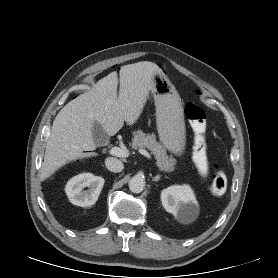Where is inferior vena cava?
<instances>
[{"label": "inferior vena cava", "mask_w": 278, "mask_h": 278, "mask_svg": "<svg viewBox=\"0 0 278 278\" xmlns=\"http://www.w3.org/2000/svg\"><path fill=\"white\" fill-rule=\"evenodd\" d=\"M106 168L111 172H121L124 168L123 163L117 158L109 157L105 160Z\"/></svg>", "instance_id": "obj_1"}]
</instances>
